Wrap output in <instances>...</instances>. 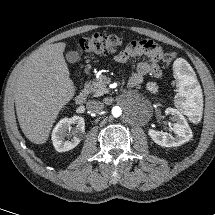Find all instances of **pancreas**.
<instances>
[{"label": "pancreas", "instance_id": "pancreas-1", "mask_svg": "<svg viewBox=\"0 0 215 215\" xmlns=\"http://www.w3.org/2000/svg\"><path fill=\"white\" fill-rule=\"evenodd\" d=\"M85 89L92 94L93 97H99L108 92V89L102 80L100 81H90L88 84L85 85ZM150 90H155L156 85H150Z\"/></svg>", "mask_w": 215, "mask_h": 215}]
</instances>
